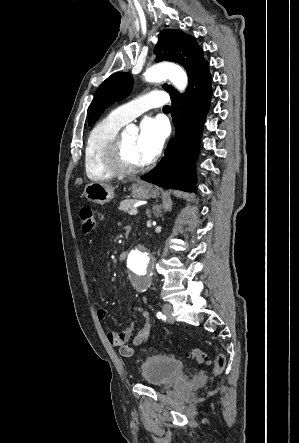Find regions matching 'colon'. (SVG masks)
Returning <instances> with one entry per match:
<instances>
[{
  "instance_id": "colon-1",
  "label": "colon",
  "mask_w": 299,
  "mask_h": 443,
  "mask_svg": "<svg viewBox=\"0 0 299 443\" xmlns=\"http://www.w3.org/2000/svg\"><path fill=\"white\" fill-rule=\"evenodd\" d=\"M79 221L82 232L84 234H90L95 228V218L92 209L89 207L81 208L79 211ZM190 357L200 364L208 362L206 354L199 349H193L190 352ZM225 363L226 361L224 355L219 354L215 359V375H220L223 372Z\"/></svg>"
}]
</instances>
